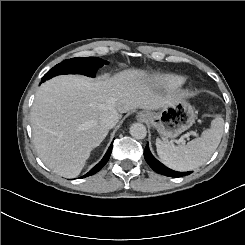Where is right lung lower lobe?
Masks as SVG:
<instances>
[{
	"mask_svg": "<svg viewBox=\"0 0 245 245\" xmlns=\"http://www.w3.org/2000/svg\"><path fill=\"white\" fill-rule=\"evenodd\" d=\"M112 147H113V143L108 148V150H107L105 156L103 157V159L95 167H93L87 174H85L81 178H85V177L91 176V175L95 174L96 172H98L107 163V161L109 160L111 152H112Z\"/></svg>",
	"mask_w": 245,
	"mask_h": 245,
	"instance_id": "obj_1",
	"label": "right lung lower lobe"
}]
</instances>
